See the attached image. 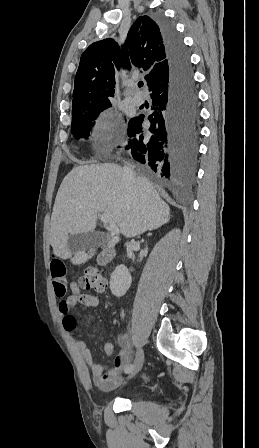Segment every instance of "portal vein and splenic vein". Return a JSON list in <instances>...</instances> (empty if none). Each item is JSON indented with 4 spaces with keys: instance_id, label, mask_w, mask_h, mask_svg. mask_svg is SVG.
<instances>
[{
    "instance_id": "portal-vein-and-splenic-vein-1",
    "label": "portal vein and splenic vein",
    "mask_w": 259,
    "mask_h": 448,
    "mask_svg": "<svg viewBox=\"0 0 259 448\" xmlns=\"http://www.w3.org/2000/svg\"><path fill=\"white\" fill-rule=\"evenodd\" d=\"M100 220H101V222H103V224H109V226L112 230V234H118L119 228H118L116 222H114V220H112L110 214H101Z\"/></svg>"
}]
</instances>
